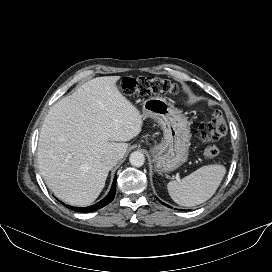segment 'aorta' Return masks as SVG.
Here are the masks:
<instances>
[{
	"mask_svg": "<svg viewBox=\"0 0 272 272\" xmlns=\"http://www.w3.org/2000/svg\"><path fill=\"white\" fill-rule=\"evenodd\" d=\"M129 161H130L131 165H133L135 167H140L145 162V156L143 153H141L139 151H134L131 153V155L129 157Z\"/></svg>",
	"mask_w": 272,
	"mask_h": 272,
	"instance_id": "1",
	"label": "aorta"
}]
</instances>
